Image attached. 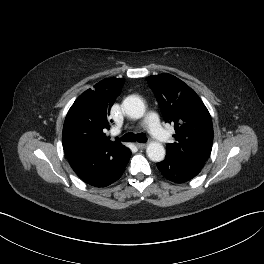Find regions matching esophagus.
<instances>
[{
  "label": "esophagus",
  "instance_id": "34e87169",
  "mask_svg": "<svg viewBox=\"0 0 264 264\" xmlns=\"http://www.w3.org/2000/svg\"><path fill=\"white\" fill-rule=\"evenodd\" d=\"M136 146H137L139 149H144V148H146L147 144H146V143H140V142H137V143H136Z\"/></svg>",
  "mask_w": 264,
  "mask_h": 264
}]
</instances>
